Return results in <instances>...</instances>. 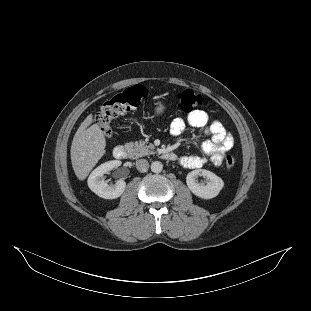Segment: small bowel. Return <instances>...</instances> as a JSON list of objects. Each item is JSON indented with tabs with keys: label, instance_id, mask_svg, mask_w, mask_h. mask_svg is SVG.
Here are the masks:
<instances>
[{
	"label": "small bowel",
	"instance_id": "1",
	"mask_svg": "<svg viewBox=\"0 0 311 311\" xmlns=\"http://www.w3.org/2000/svg\"><path fill=\"white\" fill-rule=\"evenodd\" d=\"M187 123L193 127L201 128L209 139L201 144L202 156L183 155L179 158L181 166L189 169L201 168L208 161L214 166H220L226 152L232 149L234 139L221 122L210 120L209 115L203 110L192 111L187 117ZM186 127V121L176 118L170 125V133L179 136Z\"/></svg>",
	"mask_w": 311,
	"mask_h": 311
}]
</instances>
